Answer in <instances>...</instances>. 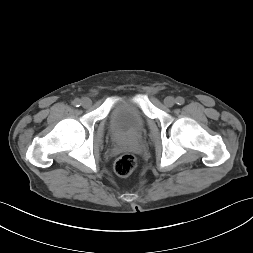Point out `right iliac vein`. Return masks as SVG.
Instances as JSON below:
<instances>
[{"label": "right iliac vein", "instance_id": "63e3f726", "mask_svg": "<svg viewBox=\"0 0 253 253\" xmlns=\"http://www.w3.org/2000/svg\"><path fill=\"white\" fill-rule=\"evenodd\" d=\"M91 104H92V101H91L90 98H88V97L82 98V100H81V105H82L83 107L88 108L89 106H91Z\"/></svg>", "mask_w": 253, "mask_h": 253}]
</instances>
